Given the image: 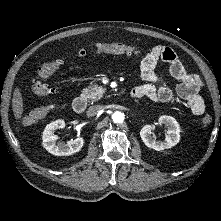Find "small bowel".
Returning a JSON list of instances; mask_svg holds the SVG:
<instances>
[{"label": "small bowel", "instance_id": "c3829d8e", "mask_svg": "<svg viewBox=\"0 0 221 221\" xmlns=\"http://www.w3.org/2000/svg\"><path fill=\"white\" fill-rule=\"evenodd\" d=\"M131 54L138 55L139 51L135 49ZM161 61L169 65L171 75L179 81L175 91L165 86L155 72L158 63ZM140 69L141 75L147 83L133 89L132 95L134 97L145 96L160 103L171 102L177 98L186 104L193 115L200 116L204 113L205 104L199 95L203 86L200 77L197 74L187 72L171 48L165 46L152 48L142 59Z\"/></svg>", "mask_w": 221, "mask_h": 221}]
</instances>
